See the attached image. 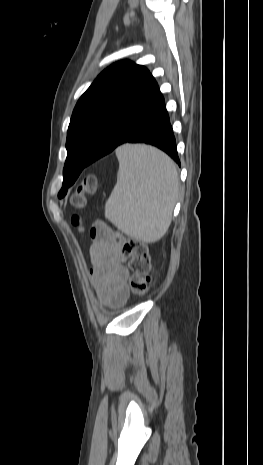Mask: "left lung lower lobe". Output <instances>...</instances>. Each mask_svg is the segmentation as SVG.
Here are the masks:
<instances>
[{"label":"left lung lower lobe","instance_id":"left-lung-lower-lobe-1","mask_svg":"<svg viewBox=\"0 0 263 465\" xmlns=\"http://www.w3.org/2000/svg\"><path fill=\"white\" fill-rule=\"evenodd\" d=\"M124 143L154 145L166 152L180 165L164 98L150 73L133 100L116 113L110 126L103 133L93 153L86 161V166ZM78 164V160L67 158L63 176L68 175L72 168Z\"/></svg>","mask_w":263,"mask_h":465}]
</instances>
